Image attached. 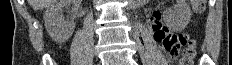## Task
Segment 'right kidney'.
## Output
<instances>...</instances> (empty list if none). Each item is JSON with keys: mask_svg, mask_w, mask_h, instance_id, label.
Segmentation results:
<instances>
[{"mask_svg": "<svg viewBox=\"0 0 232 65\" xmlns=\"http://www.w3.org/2000/svg\"><path fill=\"white\" fill-rule=\"evenodd\" d=\"M74 5L76 9V0H55L44 13V23L50 37L57 43L66 42L73 34L75 24L72 21L65 20L62 15L64 7Z\"/></svg>", "mask_w": 232, "mask_h": 65, "instance_id": "obj_1", "label": "right kidney"}]
</instances>
